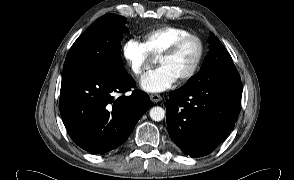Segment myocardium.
<instances>
[{
	"label": "myocardium",
	"instance_id": "1",
	"mask_svg": "<svg viewBox=\"0 0 294 180\" xmlns=\"http://www.w3.org/2000/svg\"><path fill=\"white\" fill-rule=\"evenodd\" d=\"M190 40H193L196 42L198 46V53L191 69L185 75H183L180 79H178V82L180 83H185L191 80L198 72L205 55V45L203 40L198 35L191 34V33L181 36L175 39L170 44V46L165 51H163L158 57V60H159V59L174 55L182 45H184L186 42Z\"/></svg>",
	"mask_w": 294,
	"mask_h": 180
}]
</instances>
